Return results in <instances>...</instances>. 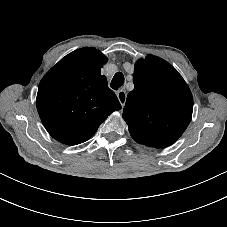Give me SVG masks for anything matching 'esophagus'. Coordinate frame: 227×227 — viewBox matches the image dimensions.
Instances as JSON below:
<instances>
[{"mask_svg":"<svg viewBox=\"0 0 227 227\" xmlns=\"http://www.w3.org/2000/svg\"><path fill=\"white\" fill-rule=\"evenodd\" d=\"M117 98L122 106V109L123 107L125 106V103H126V98H127V94H126V91L125 90H119L117 91Z\"/></svg>","mask_w":227,"mask_h":227,"instance_id":"esophagus-1","label":"esophagus"}]
</instances>
